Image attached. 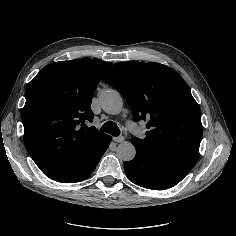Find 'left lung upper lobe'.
<instances>
[{
  "label": "left lung upper lobe",
  "instance_id": "1",
  "mask_svg": "<svg viewBox=\"0 0 236 236\" xmlns=\"http://www.w3.org/2000/svg\"><path fill=\"white\" fill-rule=\"evenodd\" d=\"M103 81L123 95L136 121H147L146 137L131 142L188 173L198 159L203 128L199 106L182 77L158 63L120 62Z\"/></svg>",
  "mask_w": 236,
  "mask_h": 236
}]
</instances>
